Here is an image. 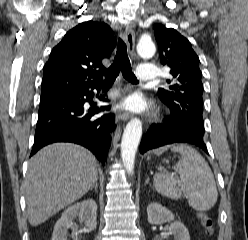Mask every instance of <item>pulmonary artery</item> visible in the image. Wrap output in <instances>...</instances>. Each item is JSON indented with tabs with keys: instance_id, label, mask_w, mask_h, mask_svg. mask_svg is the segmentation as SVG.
Returning a JSON list of instances; mask_svg holds the SVG:
<instances>
[{
	"instance_id": "1",
	"label": "pulmonary artery",
	"mask_w": 248,
	"mask_h": 240,
	"mask_svg": "<svg viewBox=\"0 0 248 240\" xmlns=\"http://www.w3.org/2000/svg\"><path fill=\"white\" fill-rule=\"evenodd\" d=\"M137 78L140 81H152L159 75L158 68L153 64H140L137 68Z\"/></svg>"
}]
</instances>
